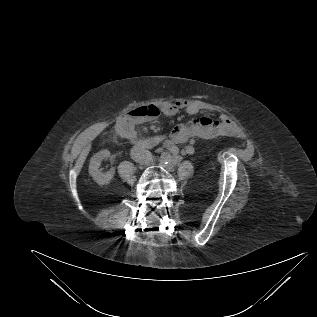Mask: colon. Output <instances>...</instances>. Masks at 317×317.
<instances>
[{
    "mask_svg": "<svg viewBox=\"0 0 317 317\" xmlns=\"http://www.w3.org/2000/svg\"><path fill=\"white\" fill-rule=\"evenodd\" d=\"M159 114V108L153 104L140 106L129 113L135 119L155 118Z\"/></svg>",
    "mask_w": 317,
    "mask_h": 317,
    "instance_id": "5ec220e1",
    "label": "colon"
}]
</instances>
